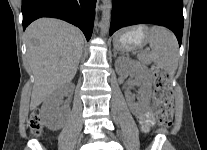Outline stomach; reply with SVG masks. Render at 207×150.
<instances>
[{
	"mask_svg": "<svg viewBox=\"0 0 207 150\" xmlns=\"http://www.w3.org/2000/svg\"><path fill=\"white\" fill-rule=\"evenodd\" d=\"M147 38L144 26H137L119 32L114 40V46L119 51H129L141 46Z\"/></svg>",
	"mask_w": 207,
	"mask_h": 150,
	"instance_id": "1",
	"label": "stomach"
}]
</instances>
